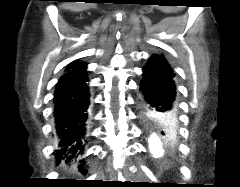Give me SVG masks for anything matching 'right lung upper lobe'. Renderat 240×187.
Returning a JSON list of instances; mask_svg holds the SVG:
<instances>
[{
	"mask_svg": "<svg viewBox=\"0 0 240 187\" xmlns=\"http://www.w3.org/2000/svg\"><path fill=\"white\" fill-rule=\"evenodd\" d=\"M80 64V61H75L69 65V67L66 69V71L71 70L72 68L78 66Z\"/></svg>",
	"mask_w": 240,
	"mask_h": 187,
	"instance_id": "1",
	"label": "right lung upper lobe"
}]
</instances>
